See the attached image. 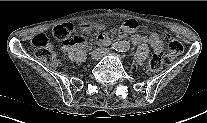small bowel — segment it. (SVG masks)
Masks as SVG:
<instances>
[{
  "mask_svg": "<svg viewBox=\"0 0 207 123\" xmlns=\"http://www.w3.org/2000/svg\"><path fill=\"white\" fill-rule=\"evenodd\" d=\"M137 27H138V22L136 20H128L122 25L121 30H120V35L125 36L128 33H132L135 31ZM105 28H106V25L102 23H98L94 26V30H97V31H102ZM107 40H108V36L105 33L99 34L98 41L100 43H105ZM85 41H86V38H85V35H83L80 38H78V41L76 43L85 42ZM131 41L134 45L149 44L155 54L161 53L164 49L163 40L160 38L158 34L154 32H150L145 36L133 35L131 37ZM69 46L70 45H63L62 49L67 50Z\"/></svg>",
  "mask_w": 207,
  "mask_h": 123,
  "instance_id": "obj_1",
  "label": "small bowel"
}]
</instances>
